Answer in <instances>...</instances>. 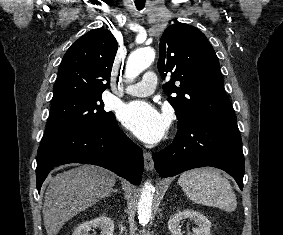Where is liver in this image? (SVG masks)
Returning a JSON list of instances; mask_svg holds the SVG:
<instances>
[{"mask_svg":"<svg viewBox=\"0 0 283 235\" xmlns=\"http://www.w3.org/2000/svg\"><path fill=\"white\" fill-rule=\"evenodd\" d=\"M115 181L114 173L94 165H81L51 178L43 205L47 235H57L68 220L109 195Z\"/></svg>","mask_w":283,"mask_h":235,"instance_id":"obj_1","label":"liver"}]
</instances>
